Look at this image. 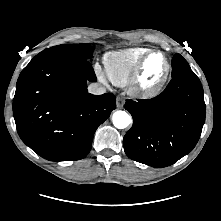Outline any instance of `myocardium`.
<instances>
[{
    "label": "myocardium",
    "mask_w": 221,
    "mask_h": 221,
    "mask_svg": "<svg viewBox=\"0 0 221 221\" xmlns=\"http://www.w3.org/2000/svg\"><path fill=\"white\" fill-rule=\"evenodd\" d=\"M154 54H161L165 58L166 70L161 78L153 85L144 83V71L148 59ZM171 73V62L165 52L153 49L148 51L139 61L129 82L130 90L139 97H152L161 92Z\"/></svg>",
    "instance_id": "obj_1"
}]
</instances>
